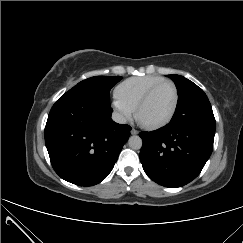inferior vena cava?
Listing matches in <instances>:
<instances>
[{
    "label": "inferior vena cava",
    "mask_w": 243,
    "mask_h": 243,
    "mask_svg": "<svg viewBox=\"0 0 243 243\" xmlns=\"http://www.w3.org/2000/svg\"><path fill=\"white\" fill-rule=\"evenodd\" d=\"M112 119H113V121H115L117 123H120V124L126 123L125 117L122 114L118 113V112H114L112 114Z\"/></svg>",
    "instance_id": "602c4592"
}]
</instances>
